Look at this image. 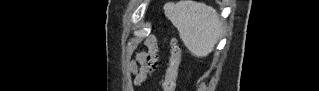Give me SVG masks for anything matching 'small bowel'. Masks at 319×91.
Segmentation results:
<instances>
[{
  "label": "small bowel",
  "instance_id": "1",
  "mask_svg": "<svg viewBox=\"0 0 319 91\" xmlns=\"http://www.w3.org/2000/svg\"><path fill=\"white\" fill-rule=\"evenodd\" d=\"M132 68H133V70L135 71V70H136V65H133ZM143 77H144V75H143L142 72L138 73V74H137V79H136V81H137V82H141L142 79H143Z\"/></svg>",
  "mask_w": 319,
  "mask_h": 91
}]
</instances>
